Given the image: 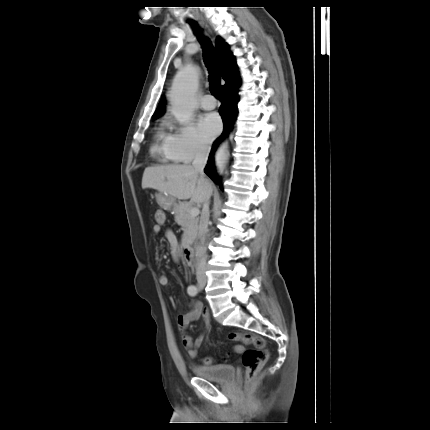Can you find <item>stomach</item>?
Returning <instances> with one entry per match:
<instances>
[{"instance_id": "1", "label": "stomach", "mask_w": 430, "mask_h": 430, "mask_svg": "<svg viewBox=\"0 0 430 430\" xmlns=\"http://www.w3.org/2000/svg\"><path fill=\"white\" fill-rule=\"evenodd\" d=\"M156 200L159 205L166 210H171L175 207V201L171 196L165 195L163 192L156 194Z\"/></svg>"}]
</instances>
